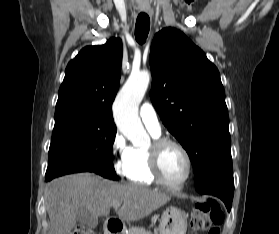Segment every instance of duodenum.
<instances>
[{
	"mask_svg": "<svg viewBox=\"0 0 279 234\" xmlns=\"http://www.w3.org/2000/svg\"><path fill=\"white\" fill-rule=\"evenodd\" d=\"M104 230L105 234H121L123 227L116 219H108Z\"/></svg>",
	"mask_w": 279,
	"mask_h": 234,
	"instance_id": "1",
	"label": "duodenum"
}]
</instances>
